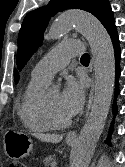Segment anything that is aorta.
<instances>
[{
    "instance_id": "762f6f07",
    "label": "aorta",
    "mask_w": 125,
    "mask_h": 167,
    "mask_svg": "<svg viewBox=\"0 0 125 167\" xmlns=\"http://www.w3.org/2000/svg\"><path fill=\"white\" fill-rule=\"evenodd\" d=\"M72 27L88 40L94 56L95 95L89 117L71 156L72 167H88L109 112L115 82V55L109 34L92 15L73 11L60 15L49 29V39H59Z\"/></svg>"
}]
</instances>
